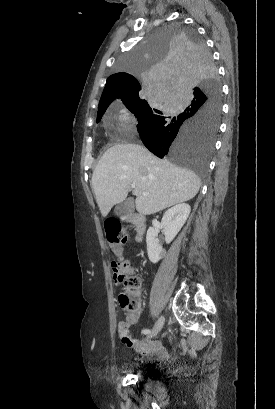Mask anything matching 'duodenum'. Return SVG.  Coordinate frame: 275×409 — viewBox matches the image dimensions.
<instances>
[{
  "instance_id": "duodenum-1",
  "label": "duodenum",
  "mask_w": 275,
  "mask_h": 409,
  "mask_svg": "<svg viewBox=\"0 0 275 409\" xmlns=\"http://www.w3.org/2000/svg\"><path fill=\"white\" fill-rule=\"evenodd\" d=\"M127 221L132 223L136 231V236L138 240H141L145 232V217L142 214H132L125 218Z\"/></svg>"
}]
</instances>
